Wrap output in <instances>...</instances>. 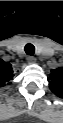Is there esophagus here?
<instances>
[{"label": "esophagus", "mask_w": 63, "mask_h": 123, "mask_svg": "<svg viewBox=\"0 0 63 123\" xmlns=\"http://www.w3.org/2000/svg\"><path fill=\"white\" fill-rule=\"evenodd\" d=\"M28 62H29L30 64H34V63H36V58L33 57V56H29V57H28Z\"/></svg>", "instance_id": "1"}]
</instances>
